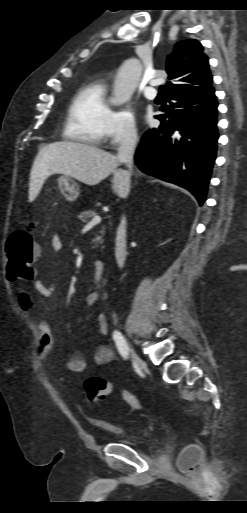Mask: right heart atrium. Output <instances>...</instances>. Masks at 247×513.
Listing matches in <instances>:
<instances>
[{"mask_svg":"<svg viewBox=\"0 0 247 513\" xmlns=\"http://www.w3.org/2000/svg\"><path fill=\"white\" fill-rule=\"evenodd\" d=\"M137 137V125L130 109L112 110L106 130L105 140L110 147L133 141Z\"/></svg>","mask_w":247,"mask_h":513,"instance_id":"obj_1","label":"right heart atrium"}]
</instances>
